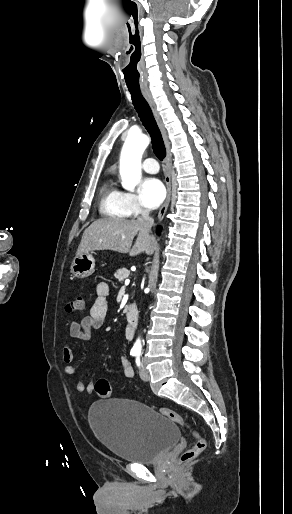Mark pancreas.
<instances>
[{"label":"pancreas","instance_id":"obj_1","mask_svg":"<svg viewBox=\"0 0 292 514\" xmlns=\"http://www.w3.org/2000/svg\"><path fill=\"white\" fill-rule=\"evenodd\" d=\"M130 272L127 270V268H121V270H116L114 276L119 280V282H123V280H126L128 278Z\"/></svg>","mask_w":292,"mask_h":514}]
</instances>
